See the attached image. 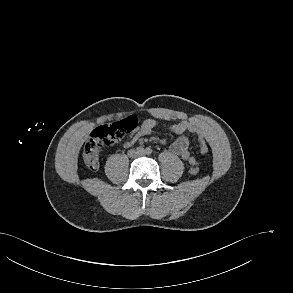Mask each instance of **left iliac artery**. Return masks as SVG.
Returning <instances> with one entry per match:
<instances>
[{"label": "left iliac artery", "instance_id": "left-iliac-artery-1", "mask_svg": "<svg viewBox=\"0 0 293 293\" xmlns=\"http://www.w3.org/2000/svg\"><path fill=\"white\" fill-rule=\"evenodd\" d=\"M145 153H146L147 155H150V154L152 153V149H151L150 147H147V148L145 149Z\"/></svg>", "mask_w": 293, "mask_h": 293}]
</instances>
